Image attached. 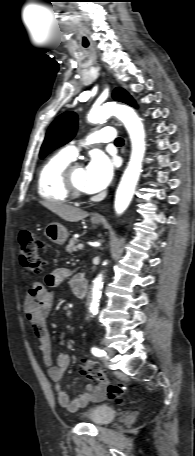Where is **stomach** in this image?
<instances>
[{"label":"stomach","instance_id":"obj_1","mask_svg":"<svg viewBox=\"0 0 195 456\" xmlns=\"http://www.w3.org/2000/svg\"><path fill=\"white\" fill-rule=\"evenodd\" d=\"M94 224H100V220H93ZM46 237L53 243L62 245L67 240L69 233L67 229L60 223L53 222L46 226L45 228Z\"/></svg>","mask_w":195,"mask_h":456}]
</instances>
